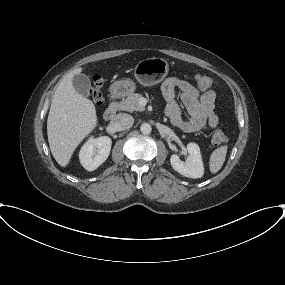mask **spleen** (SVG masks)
Instances as JSON below:
<instances>
[{
	"label": "spleen",
	"mask_w": 285,
	"mask_h": 285,
	"mask_svg": "<svg viewBox=\"0 0 285 285\" xmlns=\"http://www.w3.org/2000/svg\"><path fill=\"white\" fill-rule=\"evenodd\" d=\"M227 150L228 146L222 145L212 152L209 159V168L211 173L215 174L222 168L225 162Z\"/></svg>",
	"instance_id": "3e777b00"
}]
</instances>
